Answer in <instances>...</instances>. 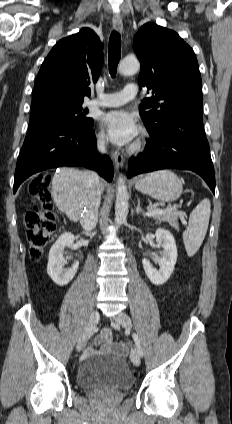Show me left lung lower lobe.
Returning <instances> with one entry per match:
<instances>
[{
	"mask_svg": "<svg viewBox=\"0 0 232 424\" xmlns=\"http://www.w3.org/2000/svg\"><path fill=\"white\" fill-rule=\"evenodd\" d=\"M147 131L151 140L138 158L130 160L128 178L160 169H186L199 174L215 193V173L202 113H180L170 117L158 131Z\"/></svg>",
	"mask_w": 232,
	"mask_h": 424,
	"instance_id": "obj_1",
	"label": "left lung lower lobe"
}]
</instances>
